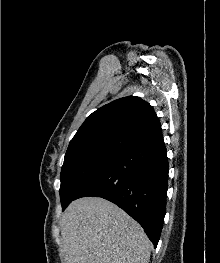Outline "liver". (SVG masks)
<instances>
[{"label": "liver", "mask_w": 220, "mask_h": 263, "mask_svg": "<svg viewBox=\"0 0 220 263\" xmlns=\"http://www.w3.org/2000/svg\"><path fill=\"white\" fill-rule=\"evenodd\" d=\"M65 263H148L152 244L141 226L115 204L85 197L61 218Z\"/></svg>", "instance_id": "obj_1"}]
</instances>
